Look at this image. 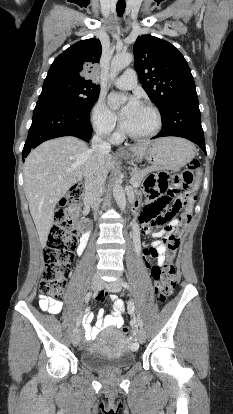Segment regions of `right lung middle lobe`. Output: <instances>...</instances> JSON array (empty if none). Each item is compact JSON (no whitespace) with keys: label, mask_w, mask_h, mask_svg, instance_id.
<instances>
[{"label":"right lung middle lobe","mask_w":233,"mask_h":414,"mask_svg":"<svg viewBox=\"0 0 233 414\" xmlns=\"http://www.w3.org/2000/svg\"><path fill=\"white\" fill-rule=\"evenodd\" d=\"M100 88L95 84L65 77H46L39 100L49 99L80 111L90 112L99 97Z\"/></svg>","instance_id":"dd1d6c3e"}]
</instances>
